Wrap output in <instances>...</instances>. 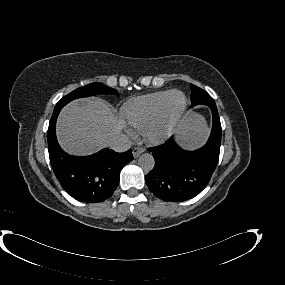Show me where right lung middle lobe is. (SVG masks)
Listing matches in <instances>:
<instances>
[{"instance_id":"obj_1","label":"right lung middle lobe","mask_w":285,"mask_h":285,"mask_svg":"<svg viewBox=\"0 0 285 285\" xmlns=\"http://www.w3.org/2000/svg\"><path fill=\"white\" fill-rule=\"evenodd\" d=\"M117 91L113 88H110L102 83H91L86 86L80 87L68 95L64 96L55 106V109L62 108L70 101L82 98L89 97L97 94H115Z\"/></svg>"}]
</instances>
